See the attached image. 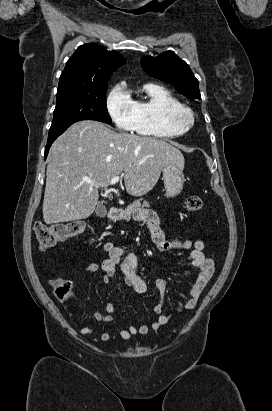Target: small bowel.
<instances>
[{
	"label": "small bowel",
	"instance_id": "c3829d8e",
	"mask_svg": "<svg viewBox=\"0 0 272 411\" xmlns=\"http://www.w3.org/2000/svg\"><path fill=\"white\" fill-rule=\"evenodd\" d=\"M136 217L138 220L147 224L151 235L152 242L156 250L160 253H166L172 249H181L189 252V259L192 267L197 271L196 279L190 289V298L185 305L179 303L175 312L172 314H164V294L167 289V283L164 280L156 282L157 288L160 291L161 299L153 306V312L157 315V319L151 326L142 324L139 326L130 325L127 328L118 331L121 339L129 341L135 335H147L150 330L157 331L167 325L175 315H178L183 309L193 310L205 287L210 281L214 272V261L206 257V246L203 241L196 240H166L165 234L159 227V221L156 215L147 209L140 210ZM103 249L108 257L100 265L90 264L83 269L84 273L92 274L101 271L103 273L102 281L110 283L117 275L121 276L124 283L134 289L138 294H143L147 290V283L141 276L138 269V259L134 254H128L123 247L115 245L111 241L103 244ZM67 309L70 317L74 319V314L69 309L66 302L62 301ZM115 305L111 302L105 306V312H92L91 317L101 323H110L114 320L113 313ZM82 335H91L94 329L90 327H81ZM102 341H109L111 335L109 332H103L100 335Z\"/></svg>",
	"mask_w": 272,
	"mask_h": 411
}]
</instances>
